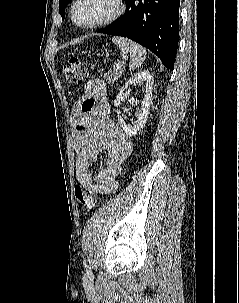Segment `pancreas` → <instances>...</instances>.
<instances>
[{
	"mask_svg": "<svg viewBox=\"0 0 239 303\" xmlns=\"http://www.w3.org/2000/svg\"><path fill=\"white\" fill-rule=\"evenodd\" d=\"M124 68H125V64L123 66L119 67V69L114 67L112 70L105 73L104 78L107 81V83L113 84L115 81H117L118 78L121 77V75L124 71Z\"/></svg>",
	"mask_w": 239,
	"mask_h": 303,
	"instance_id": "cf45deb5",
	"label": "pancreas"
}]
</instances>
